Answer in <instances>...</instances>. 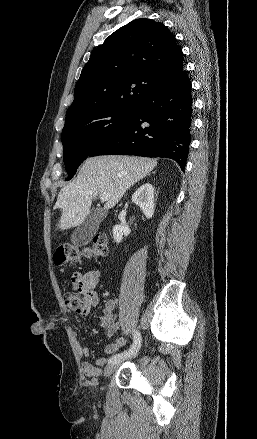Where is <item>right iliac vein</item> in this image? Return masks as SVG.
Wrapping results in <instances>:
<instances>
[{
    "instance_id": "63e3f726",
    "label": "right iliac vein",
    "mask_w": 257,
    "mask_h": 439,
    "mask_svg": "<svg viewBox=\"0 0 257 439\" xmlns=\"http://www.w3.org/2000/svg\"><path fill=\"white\" fill-rule=\"evenodd\" d=\"M122 361L123 360H119L115 363H110L108 366H106L105 370H104V376L105 377L110 376L114 372V370H116L119 367V365L122 363Z\"/></svg>"
}]
</instances>
